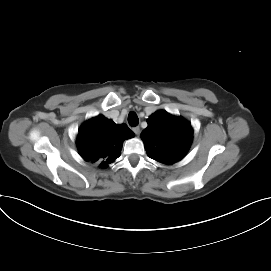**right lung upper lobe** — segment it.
<instances>
[{"label":"right lung upper lobe","instance_id":"obj_1","mask_svg":"<svg viewBox=\"0 0 271 271\" xmlns=\"http://www.w3.org/2000/svg\"><path fill=\"white\" fill-rule=\"evenodd\" d=\"M133 136L134 133L125 124L116 125L99 115L81 126L77 146L84 160L98 161L99 166L104 168L120 156L124 139Z\"/></svg>","mask_w":271,"mask_h":271}]
</instances>
